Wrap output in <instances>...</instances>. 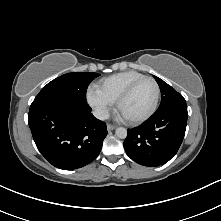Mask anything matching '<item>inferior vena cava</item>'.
I'll list each match as a JSON object with an SVG mask.
<instances>
[{
	"instance_id": "1",
	"label": "inferior vena cava",
	"mask_w": 221,
	"mask_h": 221,
	"mask_svg": "<svg viewBox=\"0 0 221 221\" xmlns=\"http://www.w3.org/2000/svg\"><path fill=\"white\" fill-rule=\"evenodd\" d=\"M93 115L99 120H106L109 118V112L103 108H97L93 111Z\"/></svg>"
}]
</instances>
